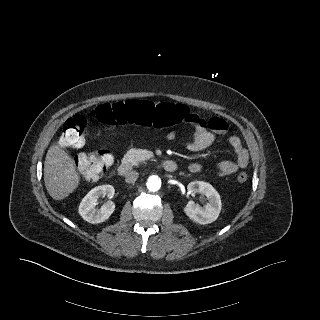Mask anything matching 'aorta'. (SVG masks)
Masks as SVG:
<instances>
[{
  "mask_svg": "<svg viewBox=\"0 0 320 320\" xmlns=\"http://www.w3.org/2000/svg\"><path fill=\"white\" fill-rule=\"evenodd\" d=\"M161 179L157 175H152L147 180V188L151 192H156L161 188Z\"/></svg>",
  "mask_w": 320,
  "mask_h": 320,
  "instance_id": "762f6f07",
  "label": "aorta"
}]
</instances>
